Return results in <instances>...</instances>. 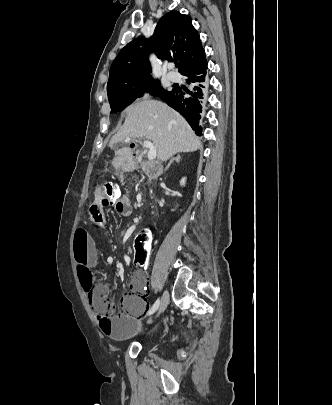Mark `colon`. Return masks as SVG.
Returning <instances> with one entry per match:
<instances>
[{
    "mask_svg": "<svg viewBox=\"0 0 332 405\" xmlns=\"http://www.w3.org/2000/svg\"><path fill=\"white\" fill-rule=\"evenodd\" d=\"M120 186L116 184H109L103 183L99 186L98 190H103L105 192V197L99 200L100 204L107 208H113L114 202L120 196ZM98 222H101L100 217H95ZM152 233H147L146 231H141L137 237L134 244V260L133 266L135 270H144L145 267L148 265V260L151 257V250L152 249ZM90 302L94 310L99 313L100 311H105L107 313V317L109 316L110 312L113 308V300L111 298L109 289L105 284L95 285V289L93 292H88ZM96 320L98 318V314L96 315Z\"/></svg>",
    "mask_w": 332,
    "mask_h": 405,
    "instance_id": "colon-1",
    "label": "colon"
}]
</instances>
